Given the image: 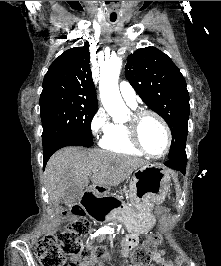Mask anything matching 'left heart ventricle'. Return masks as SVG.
<instances>
[{"label": "left heart ventricle", "mask_w": 221, "mask_h": 266, "mask_svg": "<svg viewBox=\"0 0 221 266\" xmlns=\"http://www.w3.org/2000/svg\"><path fill=\"white\" fill-rule=\"evenodd\" d=\"M139 136L143 146L152 154H160L166 145V135L161 124L152 116H146L140 124Z\"/></svg>", "instance_id": "1"}]
</instances>
